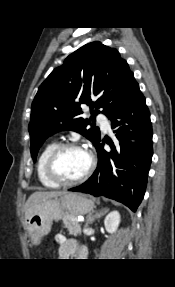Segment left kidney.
Wrapping results in <instances>:
<instances>
[{"mask_svg": "<svg viewBox=\"0 0 175 287\" xmlns=\"http://www.w3.org/2000/svg\"><path fill=\"white\" fill-rule=\"evenodd\" d=\"M120 223V214L118 211L110 212L104 220L105 229L109 233L116 232Z\"/></svg>", "mask_w": 175, "mask_h": 287, "instance_id": "1", "label": "left kidney"}]
</instances>
